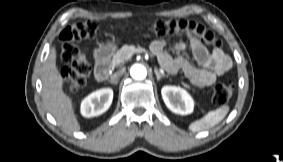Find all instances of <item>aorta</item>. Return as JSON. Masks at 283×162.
I'll use <instances>...</instances> for the list:
<instances>
[{
  "instance_id": "1",
  "label": "aorta",
  "mask_w": 283,
  "mask_h": 162,
  "mask_svg": "<svg viewBox=\"0 0 283 162\" xmlns=\"http://www.w3.org/2000/svg\"><path fill=\"white\" fill-rule=\"evenodd\" d=\"M130 75L133 79L143 80L147 76V70L143 65L135 64L130 69Z\"/></svg>"
}]
</instances>
